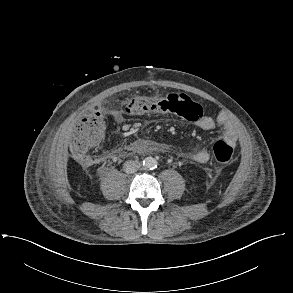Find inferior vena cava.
<instances>
[{"mask_svg":"<svg viewBox=\"0 0 293 293\" xmlns=\"http://www.w3.org/2000/svg\"><path fill=\"white\" fill-rule=\"evenodd\" d=\"M141 167V163L137 161H126L123 165L124 171L126 173H134Z\"/></svg>","mask_w":293,"mask_h":293,"instance_id":"1","label":"inferior vena cava"}]
</instances>
